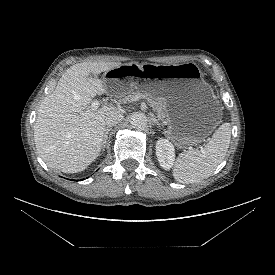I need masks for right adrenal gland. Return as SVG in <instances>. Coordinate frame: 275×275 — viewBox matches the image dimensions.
<instances>
[{"label": "right adrenal gland", "mask_w": 275, "mask_h": 275, "mask_svg": "<svg viewBox=\"0 0 275 275\" xmlns=\"http://www.w3.org/2000/svg\"><path fill=\"white\" fill-rule=\"evenodd\" d=\"M111 130V128H106L105 130V134H104V139H103V143H102V149L104 150L105 146H106V142H107V138H108V134L109 131Z\"/></svg>", "instance_id": "2a0ac1e0"}]
</instances>
